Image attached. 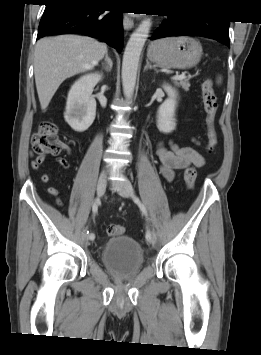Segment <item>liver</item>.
Instances as JSON below:
<instances>
[{
  "instance_id": "obj_1",
  "label": "liver",
  "mask_w": 261,
  "mask_h": 355,
  "mask_svg": "<svg viewBox=\"0 0 261 355\" xmlns=\"http://www.w3.org/2000/svg\"><path fill=\"white\" fill-rule=\"evenodd\" d=\"M107 45L79 35L40 39L35 47L34 75L43 111L61 83L92 69L104 57Z\"/></svg>"
}]
</instances>
